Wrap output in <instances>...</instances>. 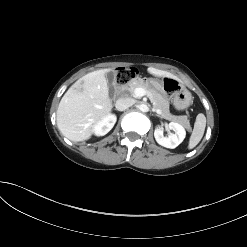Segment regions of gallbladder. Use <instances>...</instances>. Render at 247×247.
<instances>
[{
	"instance_id": "bac80fb5",
	"label": "gallbladder",
	"mask_w": 247,
	"mask_h": 247,
	"mask_svg": "<svg viewBox=\"0 0 247 247\" xmlns=\"http://www.w3.org/2000/svg\"><path fill=\"white\" fill-rule=\"evenodd\" d=\"M105 77L107 80V83L109 85L110 92L112 93L114 90V84L116 80L115 72L114 71H108L105 73Z\"/></svg>"
}]
</instances>
